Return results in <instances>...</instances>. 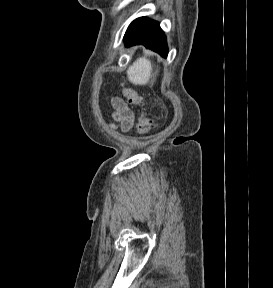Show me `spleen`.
I'll return each instance as SVG.
<instances>
[{"instance_id":"spleen-1","label":"spleen","mask_w":273,"mask_h":288,"mask_svg":"<svg viewBox=\"0 0 273 288\" xmlns=\"http://www.w3.org/2000/svg\"><path fill=\"white\" fill-rule=\"evenodd\" d=\"M152 70L149 59L138 58L127 70L128 80L135 85H145L152 77Z\"/></svg>"}]
</instances>
